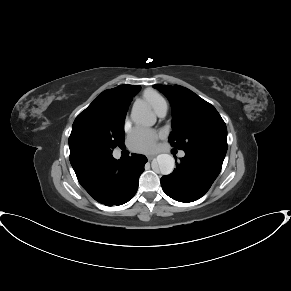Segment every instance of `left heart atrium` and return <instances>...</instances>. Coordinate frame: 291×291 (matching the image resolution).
I'll list each match as a JSON object with an SVG mask.
<instances>
[{
  "instance_id": "39dd6f15",
  "label": "left heart atrium",
  "mask_w": 291,
  "mask_h": 291,
  "mask_svg": "<svg viewBox=\"0 0 291 291\" xmlns=\"http://www.w3.org/2000/svg\"><path fill=\"white\" fill-rule=\"evenodd\" d=\"M160 134L157 131L136 128L129 137V146L136 152L148 153L155 150Z\"/></svg>"
}]
</instances>
